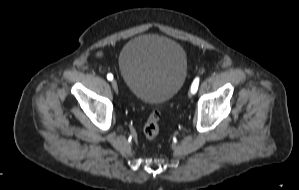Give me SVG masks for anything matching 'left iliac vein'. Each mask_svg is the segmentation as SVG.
Masks as SVG:
<instances>
[{
    "mask_svg": "<svg viewBox=\"0 0 299 190\" xmlns=\"http://www.w3.org/2000/svg\"><path fill=\"white\" fill-rule=\"evenodd\" d=\"M192 94H193V93H192V92H190V93H189V96H192Z\"/></svg>",
    "mask_w": 299,
    "mask_h": 190,
    "instance_id": "left-iliac-vein-1",
    "label": "left iliac vein"
}]
</instances>
